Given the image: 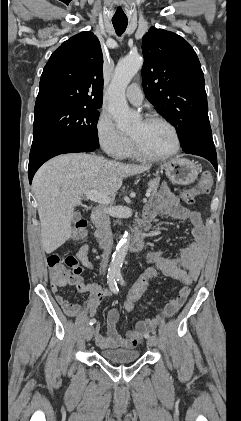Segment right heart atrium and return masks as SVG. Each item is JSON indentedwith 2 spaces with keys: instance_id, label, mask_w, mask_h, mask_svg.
Listing matches in <instances>:
<instances>
[{
  "instance_id": "obj_1",
  "label": "right heart atrium",
  "mask_w": 241,
  "mask_h": 421,
  "mask_svg": "<svg viewBox=\"0 0 241 421\" xmlns=\"http://www.w3.org/2000/svg\"><path fill=\"white\" fill-rule=\"evenodd\" d=\"M96 134L102 149L110 156L120 158L124 155L129 139L117 129L111 116L102 112L96 123Z\"/></svg>"
}]
</instances>
